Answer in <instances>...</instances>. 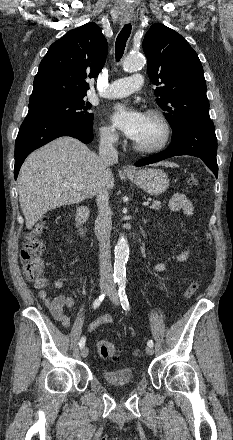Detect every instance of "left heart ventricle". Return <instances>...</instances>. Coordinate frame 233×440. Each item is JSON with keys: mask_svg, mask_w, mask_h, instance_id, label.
I'll return each mask as SVG.
<instances>
[{"mask_svg": "<svg viewBox=\"0 0 233 440\" xmlns=\"http://www.w3.org/2000/svg\"><path fill=\"white\" fill-rule=\"evenodd\" d=\"M162 134L161 126L155 120L146 116L145 125L135 141L147 146L154 145L160 141Z\"/></svg>", "mask_w": 233, "mask_h": 440, "instance_id": "obj_1", "label": "left heart ventricle"}]
</instances>
